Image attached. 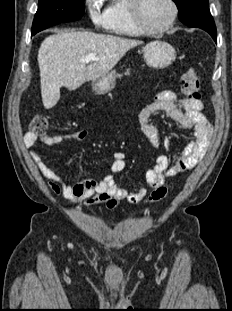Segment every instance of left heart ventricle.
I'll list each match as a JSON object with an SVG mask.
<instances>
[{"label": "left heart ventricle", "instance_id": "left-heart-ventricle-1", "mask_svg": "<svg viewBox=\"0 0 232 311\" xmlns=\"http://www.w3.org/2000/svg\"><path fill=\"white\" fill-rule=\"evenodd\" d=\"M171 13L168 0H142L141 2L143 21L151 28L165 25L169 21Z\"/></svg>", "mask_w": 232, "mask_h": 311}]
</instances>
